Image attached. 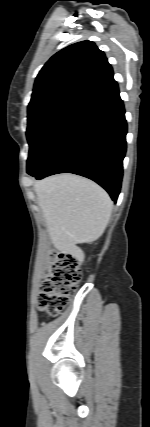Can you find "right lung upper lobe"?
<instances>
[{
    "mask_svg": "<svg viewBox=\"0 0 150 427\" xmlns=\"http://www.w3.org/2000/svg\"><path fill=\"white\" fill-rule=\"evenodd\" d=\"M117 85L104 53L91 41L56 53L39 72L28 113L52 105L81 108Z\"/></svg>",
    "mask_w": 150,
    "mask_h": 427,
    "instance_id": "obj_1",
    "label": "right lung upper lobe"
}]
</instances>
